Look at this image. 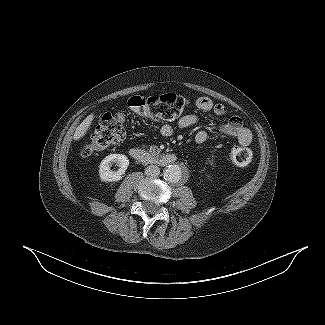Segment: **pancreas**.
Here are the masks:
<instances>
[{"label":"pancreas","mask_w":325,"mask_h":325,"mask_svg":"<svg viewBox=\"0 0 325 325\" xmlns=\"http://www.w3.org/2000/svg\"><path fill=\"white\" fill-rule=\"evenodd\" d=\"M149 152H150L151 155H153V156H159L161 150H160L157 146L152 145V146H150V148H149Z\"/></svg>","instance_id":"1"}]
</instances>
